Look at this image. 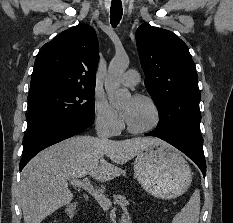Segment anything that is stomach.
Wrapping results in <instances>:
<instances>
[{
    "instance_id": "stomach-1",
    "label": "stomach",
    "mask_w": 233,
    "mask_h": 223,
    "mask_svg": "<svg viewBox=\"0 0 233 223\" xmlns=\"http://www.w3.org/2000/svg\"><path fill=\"white\" fill-rule=\"evenodd\" d=\"M133 165L141 187L159 199H174L191 185L193 173L187 161L167 143L142 149Z\"/></svg>"
}]
</instances>
